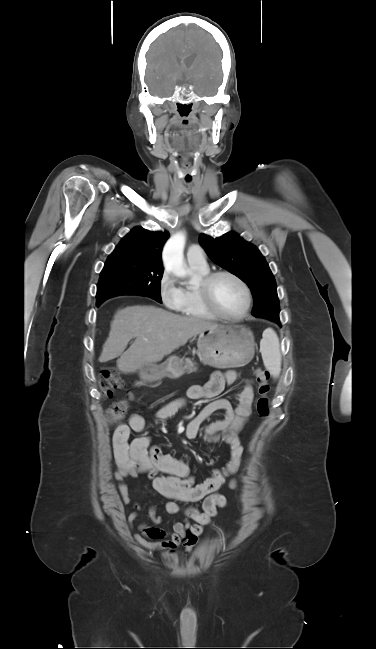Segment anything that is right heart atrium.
<instances>
[{
    "label": "right heart atrium",
    "mask_w": 376,
    "mask_h": 649,
    "mask_svg": "<svg viewBox=\"0 0 376 649\" xmlns=\"http://www.w3.org/2000/svg\"><path fill=\"white\" fill-rule=\"evenodd\" d=\"M158 292L161 301L166 307L174 310L179 307L182 300V291L170 271L164 270L161 273L158 282Z\"/></svg>",
    "instance_id": "d8ad5b80"
}]
</instances>
